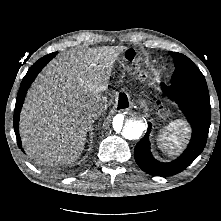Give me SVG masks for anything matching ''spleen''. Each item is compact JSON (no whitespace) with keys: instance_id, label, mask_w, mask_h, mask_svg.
Returning a JSON list of instances; mask_svg holds the SVG:
<instances>
[{"instance_id":"spleen-1","label":"spleen","mask_w":221,"mask_h":221,"mask_svg":"<svg viewBox=\"0 0 221 221\" xmlns=\"http://www.w3.org/2000/svg\"><path fill=\"white\" fill-rule=\"evenodd\" d=\"M187 132L185 121L178 119L171 122L159 137L161 148L169 154H173L186 140Z\"/></svg>"}]
</instances>
